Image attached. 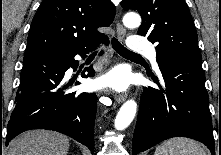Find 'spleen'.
Here are the masks:
<instances>
[{"label": "spleen", "mask_w": 221, "mask_h": 155, "mask_svg": "<svg viewBox=\"0 0 221 155\" xmlns=\"http://www.w3.org/2000/svg\"><path fill=\"white\" fill-rule=\"evenodd\" d=\"M154 155H206V152L196 141L178 137L161 143Z\"/></svg>", "instance_id": "1"}]
</instances>
